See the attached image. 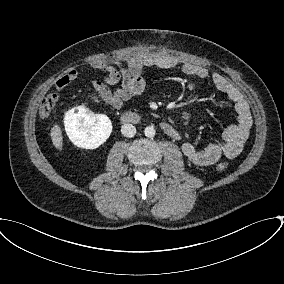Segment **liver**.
I'll use <instances>...</instances> for the list:
<instances>
[{
  "mask_svg": "<svg viewBox=\"0 0 284 284\" xmlns=\"http://www.w3.org/2000/svg\"><path fill=\"white\" fill-rule=\"evenodd\" d=\"M51 140L54 147L58 150H62L63 146V136L59 125H54L50 132Z\"/></svg>",
  "mask_w": 284,
  "mask_h": 284,
  "instance_id": "6515ba94",
  "label": "liver"
}]
</instances>
